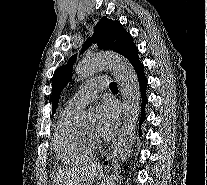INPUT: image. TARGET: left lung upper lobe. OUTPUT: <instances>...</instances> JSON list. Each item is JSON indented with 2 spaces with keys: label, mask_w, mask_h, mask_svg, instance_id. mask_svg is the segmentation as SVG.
<instances>
[{
  "label": "left lung upper lobe",
  "mask_w": 207,
  "mask_h": 185,
  "mask_svg": "<svg viewBox=\"0 0 207 185\" xmlns=\"http://www.w3.org/2000/svg\"><path fill=\"white\" fill-rule=\"evenodd\" d=\"M96 43L99 49L115 51L125 56L134 69L141 63L138 60V48L134 45L132 36L123 28L117 20L102 17L96 24L93 38H88L84 43L82 52ZM77 55H73L66 65L59 67L52 78V113L54 114L58 105L61 91L72 78V66Z\"/></svg>",
  "instance_id": "1"
}]
</instances>
